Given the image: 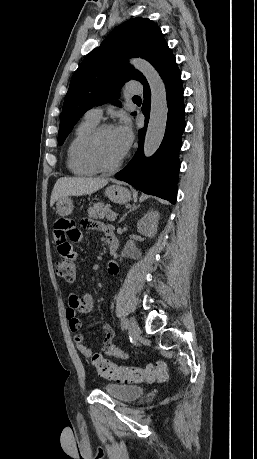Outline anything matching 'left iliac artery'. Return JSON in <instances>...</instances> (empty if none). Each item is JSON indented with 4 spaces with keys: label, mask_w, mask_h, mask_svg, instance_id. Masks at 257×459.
I'll list each match as a JSON object with an SVG mask.
<instances>
[{
    "label": "left iliac artery",
    "mask_w": 257,
    "mask_h": 459,
    "mask_svg": "<svg viewBox=\"0 0 257 459\" xmlns=\"http://www.w3.org/2000/svg\"><path fill=\"white\" fill-rule=\"evenodd\" d=\"M121 325L123 328L127 329L129 327V321L126 318H122Z\"/></svg>",
    "instance_id": "left-iliac-artery-1"
}]
</instances>
